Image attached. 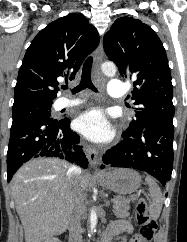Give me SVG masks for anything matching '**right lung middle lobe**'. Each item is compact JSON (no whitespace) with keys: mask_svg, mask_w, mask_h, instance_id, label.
Masks as SVG:
<instances>
[{"mask_svg":"<svg viewBox=\"0 0 187 242\" xmlns=\"http://www.w3.org/2000/svg\"><path fill=\"white\" fill-rule=\"evenodd\" d=\"M52 103H29L13 106V122L18 124L24 120L51 118Z\"/></svg>","mask_w":187,"mask_h":242,"instance_id":"right-lung-middle-lobe-1","label":"right lung middle lobe"}]
</instances>
